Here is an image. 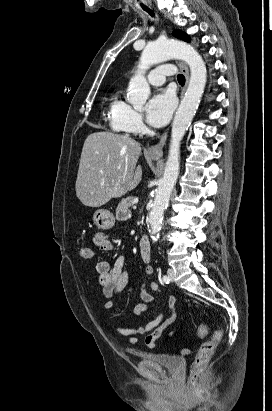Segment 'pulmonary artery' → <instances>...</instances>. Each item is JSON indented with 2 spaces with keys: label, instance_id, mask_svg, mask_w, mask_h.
Listing matches in <instances>:
<instances>
[{
  "label": "pulmonary artery",
  "instance_id": "obj_1",
  "mask_svg": "<svg viewBox=\"0 0 272 411\" xmlns=\"http://www.w3.org/2000/svg\"><path fill=\"white\" fill-rule=\"evenodd\" d=\"M173 74V68L161 65L150 71L148 81L153 86H161L165 83L166 77Z\"/></svg>",
  "mask_w": 272,
  "mask_h": 411
}]
</instances>
